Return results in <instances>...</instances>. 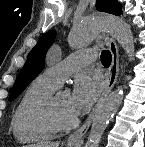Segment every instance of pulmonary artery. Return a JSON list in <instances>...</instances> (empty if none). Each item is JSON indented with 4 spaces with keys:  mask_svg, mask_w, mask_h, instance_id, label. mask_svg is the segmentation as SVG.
I'll list each match as a JSON object with an SVG mask.
<instances>
[{
    "mask_svg": "<svg viewBox=\"0 0 145 147\" xmlns=\"http://www.w3.org/2000/svg\"><path fill=\"white\" fill-rule=\"evenodd\" d=\"M95 60L96 52L94 50L73 53L66 59L50 65L44 71V74L60 85L68 76L77 72L83 66L94 63Z\"/></svg>",
    "mask_w": 145,
    "mask_h": 147,
    "instance_id": "e3ab8cb5",
    "label": "pulmonary artery"
}]
</instances>
